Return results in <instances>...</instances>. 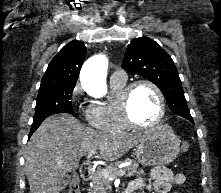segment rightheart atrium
<instances>
[{"label":"right heart atrium","mask_w":221,"mask_h":193,"mask_svg":"<svg viewBox=\"0 0 221 193\" xmlns=\"http://www.w3.org/2000/svg\"><path fill=\"white\" fill-rule=\"evenodd\" d=\"M81 93V87L76 85L70 93V101L76 105L80 104L82 100Z\"/></svg>","instance_id":"obj_1"}]
</instances>
